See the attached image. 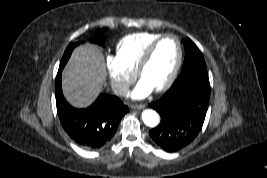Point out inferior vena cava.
I'll return each mask as SVG.
<instances>
[{
  "instance_id": "1",
  "label": "inferior vena cava",
  "mask_w": 267,
  "mask_h": 178,
  "mask_svg": "<svg viewBox=\"0 0 267 178\" xmlns=\"http://www.w3.org/2000/svg\"><path fill=\"white\" fill-rule=\"evenodd\" d=\"M112 90L116 95H125L129 92V85L125 83H115Z\"/></svg>"
}]
</instances>
